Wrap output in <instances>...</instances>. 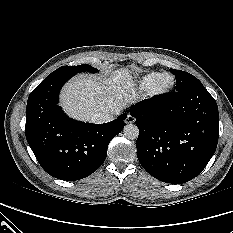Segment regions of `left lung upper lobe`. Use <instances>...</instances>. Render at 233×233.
<instances>
[{
	"label": "left lung upper lobe",
	"mask_w": 233,
	"mask_h": 233,
	"mask_svg": "<svg viewBox=\"0 0 233 233\" xmlns=\"http://www.w3.org/2000/svg\"><path fill=\"white\" fill-rule=\"evenodd\" d=\"M170 71L176 77V91H181L194 86H202V83L193 75L175 69H170Z\"/></svg>",
	"instance_id": "5c2ea615"
}]
</instances>
